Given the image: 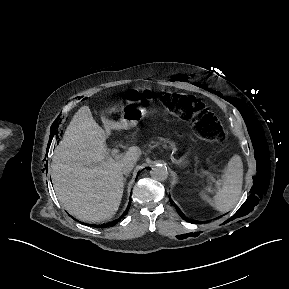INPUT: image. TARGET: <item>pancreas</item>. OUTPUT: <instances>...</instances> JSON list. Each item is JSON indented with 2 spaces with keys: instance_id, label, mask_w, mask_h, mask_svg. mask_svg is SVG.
<instances>
[{
  "instance_id": "1",
  "label": "pancreas",
  "mask_w": 289,
  "mask_h": 289,
  "mask_svg": "<svg viewBox=\"0 0 289 289\" xmlns=\"http://www.w3.org/2000/svg\"><path fill=\"white\" fill-rule=\"evenodd\" d=\"M162 146L166 147L167 144H169L170 148L172 149H176V146L173 142L171 141H168V140H165V139H159V142Z\"/></svg>"
}]
</instances>
